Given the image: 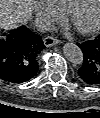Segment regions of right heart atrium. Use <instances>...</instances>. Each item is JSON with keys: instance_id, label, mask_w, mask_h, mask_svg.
I'll return each instance as SVG.
<instances>
[{"instance_id": "d8ad5b80", "label": "right heart atrium", "mask_w": 100, "mask_h": 118, "mask_svg": "<svg viewBox=\"0 0 100 118\" xmlns=\"http://www.w3.org/2000/svg\"><path fill=\"white\" fill-rule=\"evenodd\" d=\"M38 17L47 22H58L63 19V13L58 10L52 0H33Z\"/></svg>"}]
</instances>
